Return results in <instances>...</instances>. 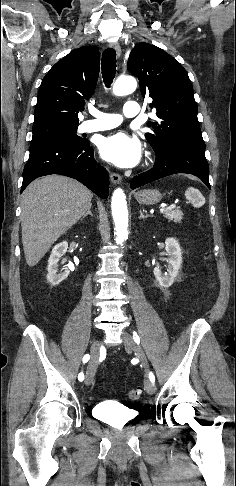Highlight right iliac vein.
<instances>
[{
	"label": "right iliac vein",
	"instance_id": "right-iliac-vein-1",
	"mask_svg": "<svg viewBox=\"0 0 236 486\" xmlns=\"http://www.w3.org/2000/svg\"><path fill=\"white\" fill-rule=\"evenodd\" d=\"M90 361L88 364L87 372H86V379L85 384L90 385L94 379L96 368H97V360L99 356V341H93L90 347Z\"/></svg>",
	"mask_w": 236,
	"mask_h": 486
}]
</instances>
